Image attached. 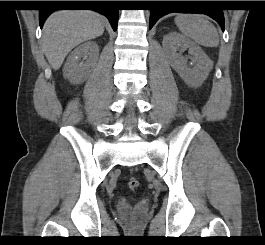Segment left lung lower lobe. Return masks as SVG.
Masks as SVG:
<instances>
[{
    "instance_id": "obj_1",
    "label": "left lung lower lobe",
    "mask_w": 265,
    "mask_h": 245,
    "mask_svg": "<svg viewBox=\"0 0 265 245\" xmlns=\"http://www.w3.org/2000/svg\"><path fill=\"white\" fill-rule=\"evenodd\" d=\"M160 8H154L150 13V25L151 29L153 25L157 22L162 16L172 13H202L210 16L221 26L224 31V15L221 8H206V9H196L192 8L199 1H156ZM201 3V2H200ZM203 3V2H202ZM205 4L214 5L217 4L216 1H205Z\"/></svg>"
}]
</instances>
